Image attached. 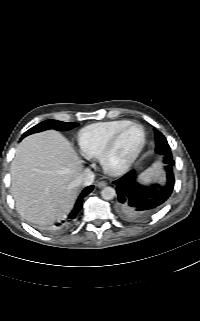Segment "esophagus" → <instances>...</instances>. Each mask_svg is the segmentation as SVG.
I'll list each match as a JSON object with an SVG mask.
<instances>
[{
    "instance_id": "esophagus-1",
    "label": "esophagus",
    "mask_w": 200,
    "mask_h": 321,
    "mask_svg": "<svg viewBox=\"0 0 200 321\" xmlns=\"http://www.w3.org/2000/svg\"><path fill=\"white\" fill-rule=\"evenodd\" d=\"M107 185V183L105 181H98L97 182V187L98 188H103Z\"/></svg>"
}]
</instances>
